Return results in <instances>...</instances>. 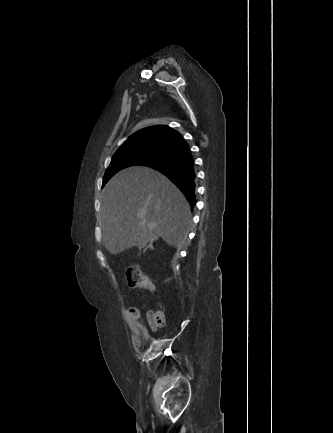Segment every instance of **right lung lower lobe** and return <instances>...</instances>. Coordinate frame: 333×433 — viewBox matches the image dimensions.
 <instances>
[{"instance_id": "1", "label": "right lung lower lobe", "mask_w": 333, "mask_h": 433, "mask_svg": "<svg viewBox=\"0 0 333 433\" xmlns=\"http://www.w3.org/2000/svg\"><path fill=\"white\" fill-rule=\"evenodd\" d=\"M182 138H178V140L174 142V146L170 148L171 153L169 155L145 165L158 169L165 174L186 194L187 200L191 208H193L196 204L195 164L189 145ZM171 143L172 141L169 144Z\"/></svg>"}]
</instances>
